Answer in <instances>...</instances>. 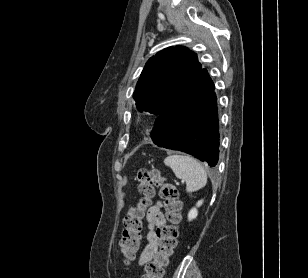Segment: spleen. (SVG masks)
I'll use <instances>...</instances> for the list:
<instances>
[{"label": "spleen", "instance_id": "spleen-1", "mask_svg": "<svg viewBox=\"0 0 308 278\" xmlns=\"http://www.w3.org/2000/svg\"><path fill=\"white\" fill-rule=\"evenodd\" d=\"M179 179L186 181V191L192 193L203 188L207 183V174L204 167L195 158L188 155L173 154L164 159Z\"/></svg>", "mask_w": 308, "mask_h": 278}]
</instances>
